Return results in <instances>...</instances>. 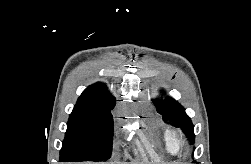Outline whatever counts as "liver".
Instances as JSON below:
<instances>
[{"instance_id":"obj_1","label":"liver","mask_w":251,"mask_h":164,"mask_svg":"<svg viewBox=\"0 0 251 164\" xmlns=\"http://www.w3.org/2000/svg\"><path fill=\"white\" fill-rule=\"evenodd\" d=\"M82 164H96V163H82Z\"/></svg>"}]
</instances>
